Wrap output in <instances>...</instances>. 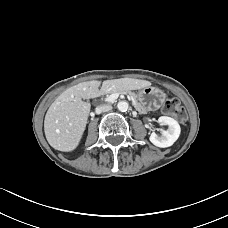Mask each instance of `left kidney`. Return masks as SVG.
Listing matches in <instances>:
<instances>
[{
  "mask_svg": "<svg viewBox=\"0 0 228 228\" xmlns=\"http://www.w3.org/2000/svg\"><path fill=\"white\" fill-rule=\"evenodd\" d=\"M158 123L167 125V130H163L160 136L152 133L149 140L157 147L166 148L172 146L180 136L181 129L178 122L171 117L161 116L158 119Z\"/></svg>",
  "mask_w": 228,
  "mask_h": 228,
  "instance_id": "left-kidney-1",
  "label": "left kidney"
}]
</instances>
